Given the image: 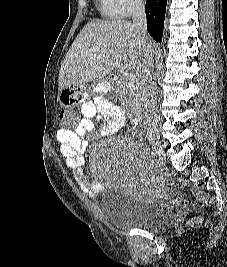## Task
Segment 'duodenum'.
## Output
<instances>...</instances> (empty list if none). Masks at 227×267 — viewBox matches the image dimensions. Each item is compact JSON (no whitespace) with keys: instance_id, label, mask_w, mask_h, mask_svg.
Segmentation results:
<instances>
[{"instance_id":"1","label":"duodenum","mask_w":227,"mask_h":267,"mask_svg":"<svg viewBox=\"0 0 227 267\" xmlns=\"http://www.w3.org/2000/svg\"><path fill=\"white\" fill-rule=\"evenodd\" d=\"M131 112H132L133 120L136 122H139L141 120V116H142L141 113L135 109H133Z\"/></svg>"}]
</instances>
